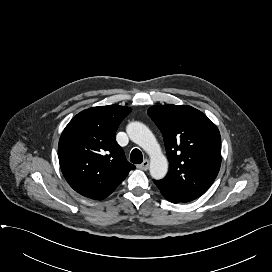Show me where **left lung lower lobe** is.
<instances>
[{"mask_svg":"<svg viewBox=\"0 0 272 272\" xmlns=\"http://www.w3.org/2000/svg\"><path fill=\"white\" fill-rule=\"evenodd\" d=\"M155 184L157 185V182L154 181ZM199 196H188V197H183V198H180V199H171V198H166L168 201L172 202V203H179V202H189V201H192L196 198H198Z\"/></svg>","mask_w":272,"mask_h":272,"instance_id":"0a47b994","label":"left lung lower lobe"}]
</instances>
